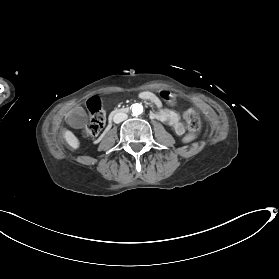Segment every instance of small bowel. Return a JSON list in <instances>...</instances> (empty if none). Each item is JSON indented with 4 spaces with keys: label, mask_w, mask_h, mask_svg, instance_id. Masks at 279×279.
<instances>
[{
    "label": "small bowel",
    "mask_w": 279,
    "mask_h": 279,
    "mask_svg": "<svg viewBox=\"0 0 279 279\" xmlns=\"http://www.w3.org/2000/svg\"><path fill=\"white\" fill-rule=\"evenodd\" d=\"M160 95L168 103H173L175 101L174 95L168 90H161ZM141 96L144 99L152 102L157 108H159L158 111L151 113V116L153 118L172 124L175 132L179 135L184 133V125L179 121L176 112L169 108L163 107L162 101L157 95L152 92H143Z\"/></svg>",
    "instance_id": "small-bowel-1"
}]
</instances>
